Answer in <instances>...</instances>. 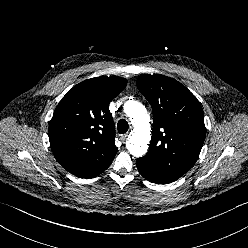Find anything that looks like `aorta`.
Instances as JSON below:
<instances>
[{
  "label": "aorta",
  "instance_id": "1",
  "mask_svg": "<svg viewBox=\"0 0 248 248\" xmlns=\"http://www.w3.org/2000/svg\"><path fill=\"white\" fill-rule=\"evenodd\" d=\"M124 112L130 118L134 129L128 137L127 148L131 155L141 157L147 152V144L151 137L150 119L143 104L127 101Z\"/></svg>",
  "mask_w": 248,
  "mask_h": 248
}]
</instances>
